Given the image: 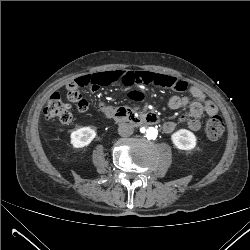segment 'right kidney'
<instances>
[{
    "label": "right kidney",
    "instance_id": "1",
    "mask_svg": "<svg viewBox=\"0 0 250 250\" xmlns=\"http://www.w3.org/2000/svg\"><path fill=\"white\" fill-rule=\"evenodd\" d=\"M93 138L94 131L88 127L73 130L70 134V142L74 147L84 145L85 143L90 142Z\"/></svg>",
    "mask_w": 250,
    "mask_h": 250
}]
</instances>
